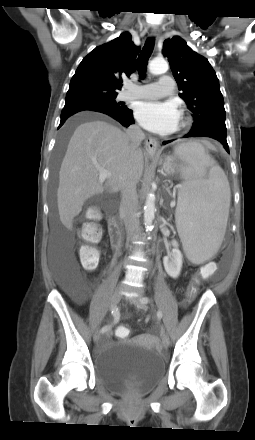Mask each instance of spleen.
Listing matches in <instances>:
<instances>
[{
	"mask_svg": "<svg viewBox=\"0 0 255 440\" xmlns=\"http://www.w3.org/2000/svg\"><path fill=\"white\" fill-rule=\"evenodd\" d=\"M175 152L187 164L181 169L184 182L178 192L176 226L187 257L200 264L210 259L222 243L230 187L224 171L201 144H183Z\"/></svg>",
	"mask_w": 255,
	"mask_h": 440,
	"instance_id": "spleen-1",
	"label": "spleen"
}]
</instances>
